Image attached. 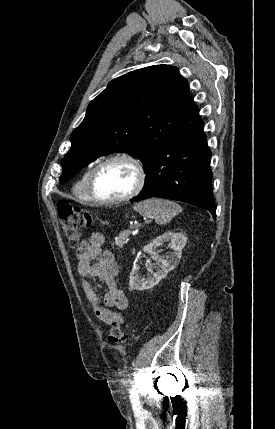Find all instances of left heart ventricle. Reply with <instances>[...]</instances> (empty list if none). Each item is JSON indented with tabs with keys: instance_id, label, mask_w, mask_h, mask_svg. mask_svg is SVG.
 <instances>
[{
	"instance_id": "obj_1",
	"label": "left heart ventricle",
	"mask_w": 275,
	"mask_h": 429,
	"mask_svg": "<svg viewBox=\"0 0 275 429\" xmlns=\"http://www.w3.org/2000/svg\"><path fill=\"white\" fill-rule=\"evenodd\" d=\"M135 180V171L129 163L115 161L98 172L94 181V192L101 199L118 198L132 189Z\"/></svg>"
}]
</instances>
